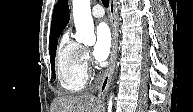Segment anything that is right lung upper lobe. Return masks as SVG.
Segmentation results:
<instances>
[{"label":"right lung upper lobe","instance_id":"obj_1","mask_svg":"<svg viewBox=\"0 0 193 112\" xmlns=\"http://www.w3.org/2000/svg\"><path fill=\"white\" fill-rule=\"evenodd\" d=\"M69 7L67 0H59L55 7V14L52 20L50 38H49V49L52 48L58 41V37L69 22Z\"/></svg>","mask_w":193,"mask_h":112}]
</instances>
